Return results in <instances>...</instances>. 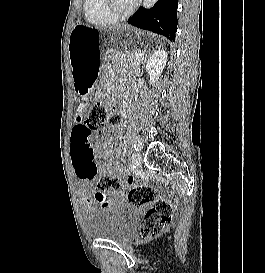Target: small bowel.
<instances>
[{"label":"small bowel","instance_id":"small-bowel-1","mask_svg":"<svg viewBox=\"0 0 265 273\" xmlns=\"http://www.w3.org/2000/svg\"><path fill=\"white\" fill-rule=\"evenodd\" d=\"M117 112V111H113ZM90 133L86 125L82 127L74 125L70 136V160L74 174L81 185V201L85 209L91 205V195L93 204H109L108 195L104 190H90L91 184L96 180L99 173L110 174L113 167L108 163L98 164L93 153L90 151ZM113 155L111 150H105L103 157L109 158ZM132 178H129L131 180Z\"/></svg>","mask_w":265,"mask_h":273}]
</instances>
